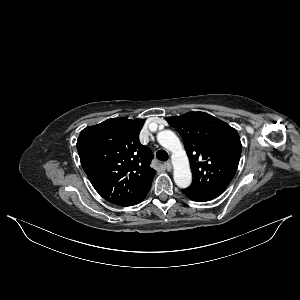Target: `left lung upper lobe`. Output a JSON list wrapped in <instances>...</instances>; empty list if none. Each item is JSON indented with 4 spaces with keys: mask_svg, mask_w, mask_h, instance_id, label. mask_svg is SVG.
<instances>
[{
    "mask_svg": "<svg viewBox=\"0 0 300 300\" xmlns=\"http://www.w3.org/2000/svg\"><path fill=\"white\" fill-rule=\"evenodd\" d=\"M166 121L181 135L193 175L190 189L220 195L238 167L242 145L238 132L204 112H189Z\"/></svg>",
    "mask_w": 300,
    "mask_h": 300,
    "instance_id": "1",
    "label": "left lung upper lobe"
}]
</instances>
